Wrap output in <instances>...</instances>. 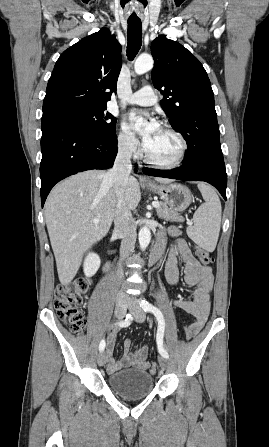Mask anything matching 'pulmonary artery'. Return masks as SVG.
<instances>
[{"label":"pulmonary artery","instance_id":"1","mask_svg":"<svg viewBox=\"0 0 269 447\" xmlns=\"http://www.w3.org/2000/svg\"><path fill=\"white\" fill-rule=\"evenodd\" d=\"M126 102L134 105L152 106L158 102V93L151 86H144L130 94L126 98Z\"/></svg>","mask_w":269,"mask_h":447}]
</instances>
